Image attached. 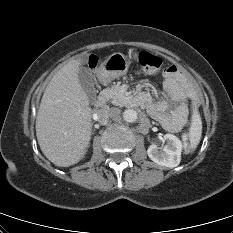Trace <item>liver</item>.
<instances>
[{
  "mask_svg": "<svg viewBox=\"0 0 233 233\" xmlns=\"http://www.w3.org/2000/svg\"><path fill=\"white\" fill-rule=\"evenodd\" d=\"M81 58L64 65L47 85L36 118L41 151L53 164L68 167L87 152L92 133V109L78 77Z\"/></svg>",
  "mask_w": 233,
  "mask_h": 233,
  "instance_id": "obj_1",
  "label": "liver"
}]
</instances>
